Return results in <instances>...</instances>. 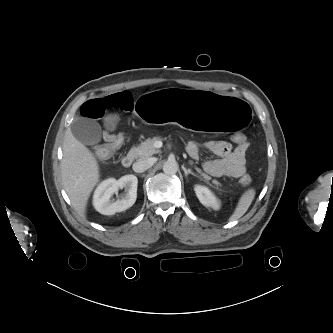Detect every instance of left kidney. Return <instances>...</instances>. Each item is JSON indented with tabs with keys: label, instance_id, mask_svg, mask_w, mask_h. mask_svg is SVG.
Here are the masks:
<instances>
[{
	"label": "left kidney",
	"instance_id": "1",
	"mask_svg": "<svg viewBox=\"0 0 333 333\" xmlns=\"http://www.w3.org/2000/svg\"><path fill=\"white\" fill-rule=\"evenodd\" d=\"M195 193L199 201L206 207H211L215 210L219 209L220 203L216 197L211 193V191L204 186H195Z\"/></svg>",
	"mask_w": 333,
	"mask_h": 333
}]
</instances>
